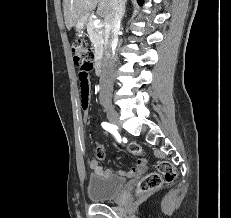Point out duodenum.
Returning a JSON list of instances; mask_svg holds the SVG:
<instances>
[{
	"instance_id": "obj_1",
	"label": "duodenum",
	"mask_w": 231,
	"mask_h": 218,
	"mask_svg": "<svg viewBox=\"0 0 231 218\" xmlns=\"http://www.w3.org/2000/svg\"><path fill=\"white\" fill-rule=\"evenodd\" d=\"M94 69L97 75L101 76L103 74V63H102V58L99 54L95 59Z\"/></svg>"
}]
</instances>
